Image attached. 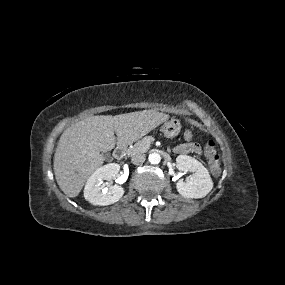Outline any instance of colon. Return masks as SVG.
Returning <instances> with one entry per match:
<instances>
[{
    "label": "colon",
    "instance_id": "1",
    "mask_svg": "<svg viewBox=\"0 0 285 285\" xmlns=\"http://www.w3.org/2000/svg\"><path fill=\"white\" fill-rule=\"evenodd\" d=\"M182 138L185 142L190 143L193 141L194 136L190 129L185 130L182 133ZM204 151L208 158L211 173L218 176L221 173L220 158L216 151V145L213 140L206 141L204 145Z\"/></svg>",
    "mask_w": 285,
    "mask_h": 285
}]
</instances>
